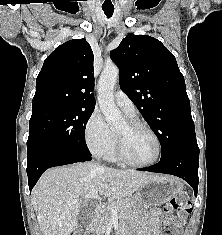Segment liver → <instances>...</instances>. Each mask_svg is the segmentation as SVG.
Wrapping results in <instances>:
<instances>
[{
	"label": "liver",
	"instance_id": "6515ba94",
	"mask_svg": "<svg viewBox=\"0 0 222 235\" xmlns=\"http://www.w3.org/2000/svg\"><path fill=\"white\" fill-rule=\"evenodd\" d=\"M145 172L116 170L95 162L50 168L32 191V205L42 235H71L77 228L82 197L93 190L122 200L157 178Z\"/></svg>",
	"mask_w": 222,
	"mask_h": 235
}]
</instances>
